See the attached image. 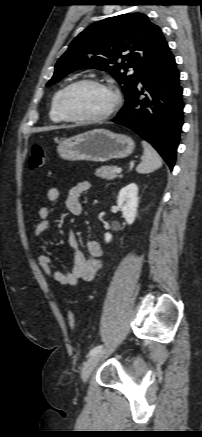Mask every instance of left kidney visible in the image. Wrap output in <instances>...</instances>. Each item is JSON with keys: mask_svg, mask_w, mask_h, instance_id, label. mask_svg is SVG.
<instances>
[{"mask_svg": "<svg viewBox=\"0 0 202 437\" xmlns=\"http://www.w3.org/2000/svg\"><path fill=\"white\" fill-rule=\"evenodd\" d=\"M117 205L122 210L127 224L131 225L135 220L138 207V186L135 183H130L120 190ZM111 239L112 235L106 233L105 241L108 243Z\"/></svg>", "mask_w": 202, "mask_h": 437, "instance_id": "1", "label": "left kidney"}]
</instances>
